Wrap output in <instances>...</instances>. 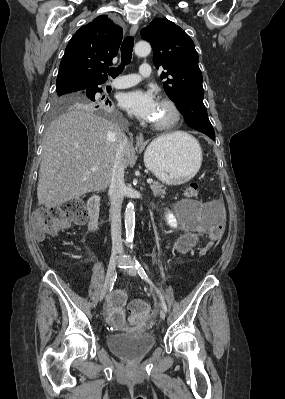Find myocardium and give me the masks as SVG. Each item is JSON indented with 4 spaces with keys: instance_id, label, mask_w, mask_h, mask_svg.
Here are the masks:
<instances>
[{
    "instance_id": "1",
    "label": "myocardium",
    "mask_w": 285,
    "mask_h": 399,
    "mask_svg": "<svg viewBox=\"0 0 285 399\" xmlns=\"http://www.w3.org/2000/svg\"><path fill=\"white\" fill-rule=\"evenodd\" d=\"M160 104H164L172 112V117L169 121L164 122V123H152V127L157 129V130H168L172 127H174L180 120L181 117V111L177 103L172 100L171 98L168 97H163L159 100Z\"/></svg>"
}]
</instances>
